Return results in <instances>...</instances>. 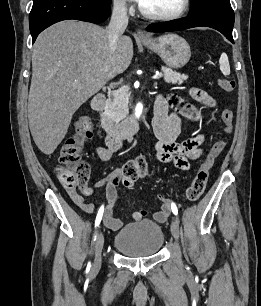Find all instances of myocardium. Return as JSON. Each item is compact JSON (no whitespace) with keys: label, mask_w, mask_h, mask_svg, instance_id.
<instances>
[{"label":"myocardium","mask_w":261,"mask_h":306,"mask_svg":"<svg viewBox=\"0 0 261 306\" xmlns=\"http://www.w3.org/2000/svg\"><path fill=\"white\" fill-rule=\"evenodd\" d=\"M190 3H191V0H183L181 7L177 11L173 13H169V14H160V13L150 12L146 10L145 8H143L141 4L139 5V10L141 14L145 16L146 18L153 19V20L168 21V20H175V19L182 17L188 11L190 7Z\"/></svg>","instance_id":"1"}]
</instances>
